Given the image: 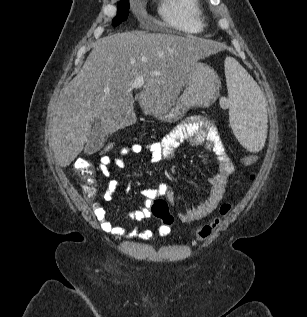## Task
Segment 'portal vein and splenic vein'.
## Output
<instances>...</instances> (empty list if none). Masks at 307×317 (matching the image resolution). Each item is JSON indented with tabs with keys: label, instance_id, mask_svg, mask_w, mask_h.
<instances>
[{
	"label": "portal vein and splenic vein",
	"instance_id": "1",
	"mask_svg": "<svg viewBox=\"0 0 307 317\" xmlns=\"http://www.w3.org/2000/svg\"><path fill=\"white\" fill-rule=\"evenodd\" d=\"M144 85V78L142 76H138L134 82L132 83V88H141Z\"/></svg>",
	"mask_w": 307,
	"mask_h": 317
}]
</instances>
